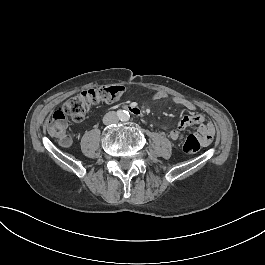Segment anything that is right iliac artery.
Here are the masks:
<instances>
[{
	"instance_id": "right-iliac-artery-1",
	"label": "right iliac artery",
	"mask_w": 265,
	"mask_h": 265,
	"mask_svg": "<svg viewBox=\"0 0 265 265\" xmlns=\"http://www.w3.org/2000/svg\"><path fill=\"white\" fill-rule=\"evenodd\" d=\"M124 111L118 110L117 113L118 115H121Z\"/></svg>"
}]
</instances>
